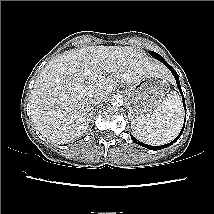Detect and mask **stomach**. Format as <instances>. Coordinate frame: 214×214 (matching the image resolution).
Instances as JSON below:
<instances>
[{"mask_svg": "<svg viewBox=\"0 0 214 214\" xmlns=\"http://www.w3.org/2000/svg\"><path fill=\"white\" fill-rule=\"evenodd\" d=\"M170 85L165 74L149 75L138 82L128 84L126 96L130 117L147 115L157 109L167 97Z\"/></svg>", "mask_w": 214, "mask_h": 214, "instance_id": "obj_1", "label": "stomach"}]
</instances>
